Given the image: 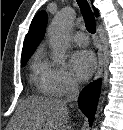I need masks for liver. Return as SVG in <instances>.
<instances>
[{
  "label": "liver",
  "instance_id": "6515ba94",
  "mask_svg": "<svg viewBox=\"0 0 123 130\" xmlns=\"http://www.w3.org/2000/svg\"><path fill=\"white\" fill-rule=\"evenodd\" d=\"M69 109L55 98L30 96L20 101L7 130H70Z\"/></svg>",
  "mask_w": 123,
  "mask_h": 130
}]
</instances>
